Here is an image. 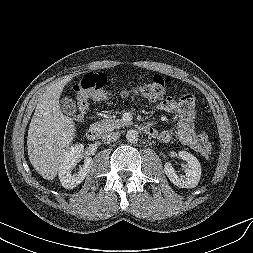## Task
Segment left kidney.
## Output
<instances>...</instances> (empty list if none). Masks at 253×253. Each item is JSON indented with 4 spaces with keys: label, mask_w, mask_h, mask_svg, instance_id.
I'll return each instance as SVG.
<instances>
[{
    "label": "left kidney",
    "mask_w": 253,
    "mask_h": 253,
    "mask_svg": "<svg viewBox=\"0 0 253 253\" xmlns=\"http://www.w3.org/2000/svg\"><path fill=\"white\" fill-rule=\"evenodd\" d=\"M178 157L185 160L188 168L185 169V176L179 177L171 163L164 165V171L169 180L181 188H194L198 185L201 177V165L196 157L186 151H179Z\"/></svg>",
    "instance_id": "left-kidney-1"
}]
</instances>
